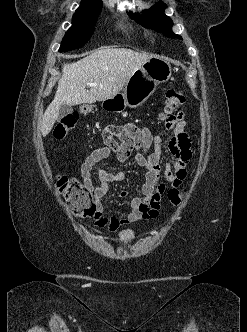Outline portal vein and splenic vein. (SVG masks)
<instances>
[{
    "label": "portal vein and splenic vein",
    "mask_w": 247,
    "mask_h": 332,
    "mask_svg": "<svg viewBox=\"0 0 247 332\" xmlns=\"http://www.w3.org/2000/svg\"><path fill=\"white\" fill-rule=\"evenodd\" d=\"M87 85L92 87V86H97V83L89 82Z\"/></svg>",
    "instance_id": "18ae733b"
}]
</instances>
